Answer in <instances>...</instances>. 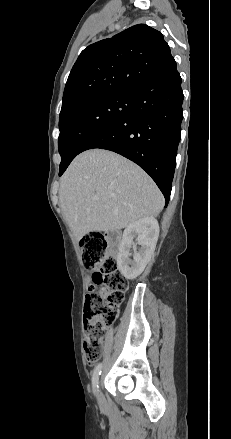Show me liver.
<instances>
[{
    "label": "liver",
    "mask_w": 231,
    "mask_h": 439,
    "mask_svg": "<svg viewBox=\"0 0 231 439\" xmlns=\"http://www.w3.org/2000/svg\"><path fill=\"white\" fill-rule=\"evenodd\" d=\"M59 199L77 240L89 232L121 230L156 217L165 203L139 166L104 149L85 151L72 161L61 179Z\"/></svg>",
    "instance_id": "obj_1"
}]
</instances>
